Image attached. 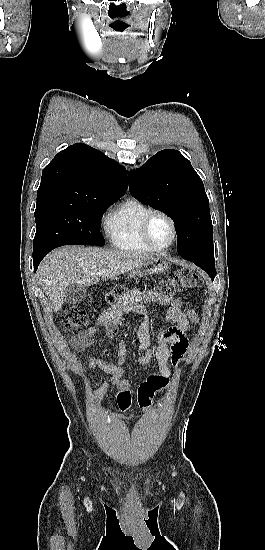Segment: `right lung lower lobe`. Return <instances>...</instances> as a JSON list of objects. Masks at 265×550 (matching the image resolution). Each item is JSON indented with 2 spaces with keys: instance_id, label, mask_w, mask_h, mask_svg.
Returning <instances> with one entry per match:
<instances>
[{
  "instance_id": "right-lung-lower-lobe-1",
  "label": "right lung lower lobe",
  "mask_w": 265,
  "mask_h": 550,
  "mask_svg": "<svg viewBox=\"0 0 265 550\" xmlns=\"http://www.w3.org/2000/svg\"><path fill=\"white\" fill-rule=\"evenodd\" d=\"M47 253L33 254L34 271L37 270L39 263Z\"/></svg>"
}]
</instances>
